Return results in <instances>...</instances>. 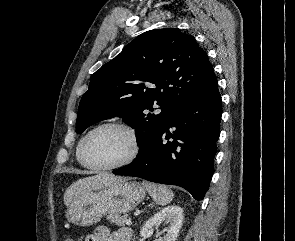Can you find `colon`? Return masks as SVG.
I'll list each match as a JSON object with an SVG mask.
<instances>
[{
    "instance_id": "1",
    "label": "colon",
    "mask_w": 295,
    "mask_h": 241,
    "mask_svg": "<svg viewBox=\"0 0 295 241\" xmlns=\"http://www.w3.org/2000/svg\"><path fill=\"white\" fill-rule=\"evenodd\" d=\"M65 241H73L72 239H66Z\"/></svg>"
}]
</instances>
